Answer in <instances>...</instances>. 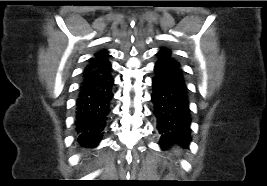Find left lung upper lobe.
<instances>
[{"mask_svg": "<svg viewBox=\"0 0 267 186\" xmlns=\"http://www.w3.org/2000/svg\"><path fill=\"white\" fill-rule=\"evenodd\" d=\"M159 54H163L165 57L174 60L172 58L171 51L169 49H167V48H161Z\"/></svg>", "mask_w": 267, "mask_h": 186, "instance_id": "1", "label": "left lung upper lobe"}]
</instances>
